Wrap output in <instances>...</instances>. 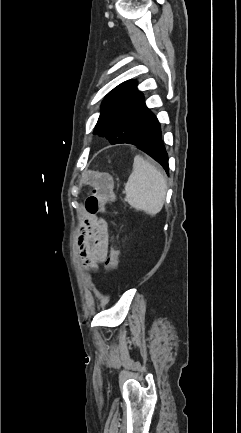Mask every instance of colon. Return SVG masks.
<instances>
[{"mask_svg":"<svg viewBox=\"0 0 241 433\" xmlns=\"http://www.w3.org/2000/svg\"><path fill=\"white\" fill-rule=\"evenodd\" d=\"M84 182L94 183L92 194L88 198V208L92 213L104 212L106 206L113 199V181L110 175L104 172H95L93 175L85 176ZM119 263V250L114 247L105 262L108 271H114Z\"/></svg>","mask_w":241,"mask_h":433,"instance_id":"obj_1","label":"colon"}]
</instances>
